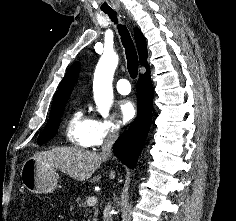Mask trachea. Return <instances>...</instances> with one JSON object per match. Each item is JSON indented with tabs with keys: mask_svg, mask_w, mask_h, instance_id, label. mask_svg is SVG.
<instances>
[{
	"mask_svg": "<svg viewBox=\"0 0 236 221\" xmlns=\"http://www.w3.org/2000/svg\"><path fill=\"white\" fill-rule=\"evenodd\" d=\"M115 23L117 22V14L114 11L105 12ZM118 31L121 36L122 44L125 48L126 58H127V68L131 78H136L138 74V56L136 52L135 45L130 36V33L126 26L119 25Z\"/></svg>",
	"mask_w": 236,
	"mask_h": 221,
	"instance_id": "3493384b",
	"label": "trachea"
}]
</instances>
